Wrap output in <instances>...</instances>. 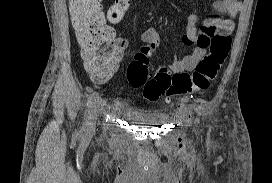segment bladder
<instances>
[{"mask_svg": "<svg viewBox=\"0 0 272 183\" xmlns=\"http://www.w3.org/2000/svg\"><path fill=\"white\" fill-rule=\"evenodd\" d=\"M126 115H128V113ZM133 121H135V123L140 126H154V125L164 123L165 119L162 117L152 118V117L146 116V117L135 118L133 119Z\"/></svg>", "mask_w": 272, "mask_h": 183, "instance_id": "bladder-1", "label": "bladder"}]
</instances>
